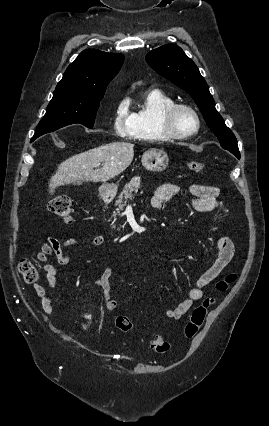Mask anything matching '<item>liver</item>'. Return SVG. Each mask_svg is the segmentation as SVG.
Wrapping results in <instances>:
<instances>
[{
  "mask_svg": "<svg viewBox=\"0 0 269 426\" xmlns=\"http://www.w3.org/2000/svg\"><path fill=\"white\" fill-rule=\"evenodd\" d=\"M133 157L134 145L128 142H112L73 155L52 175L49 192L53 194L57 187L66 184L106 182L126 170Z\"/></svg>",
  "mask_w": 269,
  "mask_h": 426,
  "instance_id": "6515ba94",
  "label": "liver"
}]
</instances>
